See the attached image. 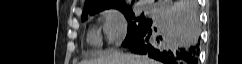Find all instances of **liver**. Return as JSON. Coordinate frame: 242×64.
Returning a JSON list of instances; mask_svg holds the SVG:
<instances>
[{
  "instance_id": "liver-1",
  "label": "liver",
  "mask_w": 242,
  "mask_h": 64,
  "mask_svg": "<svg viewBox=\"0 0 242 64\" xmlns=\"http://www.w3.org/2000/svg\"><path fill=\"white\" fill-rule=\"evenodd\" d=\"M185 32L191 36H199L198 22H195L191 17H184L181 20ZM80 64H158L157 61L146 56L134 54H110L94 60H85Z\"/></svg>"
}]
</instances>
